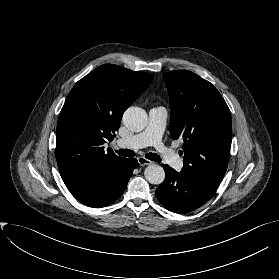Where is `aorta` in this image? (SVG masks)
<instances>
[{"label":"aorta","mask_w":279,"mask_h":279,"mask_svg":"<svg viewBox=\"0 0 279 279\" xmlns=\"http://www.w3.org/2000/svg\"><path fill=\"white\" fill-rule=\"evenodd\" d=\"M123 124L133 132L142 131L147 125V113L139 107L128 108L123 115ZM146 180L151 184H161L165 179L164 169L157 164L146 167L144 172Z\"/></svg>","instance_id":"762f6f07"}]
</instances>
